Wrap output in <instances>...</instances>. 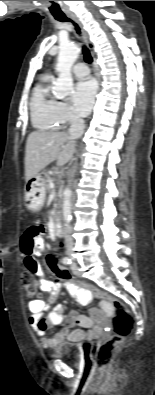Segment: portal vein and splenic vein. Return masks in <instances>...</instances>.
Here are the masks:
<instances>
[{
    "instance_id": "1",
    "label": "portal vein and splenic vein",
    "mask_w": 155,
    "mask_h": 395,
    "mask_svg": "<svg viewBox=\"0 0 155 395\" xmlns=\"http://www.w3.org/2000/svg\"><path fill=\"white\" fill-rule=\"evenodd\" d=\"M49 186H50L51 189H53L55 187L53 182H50Z\"/></svg>"
}]
</instances>
